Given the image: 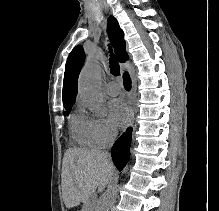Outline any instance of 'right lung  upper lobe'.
Returning a JSON list of instances; mask_svg holds the SVG:
<instances>
[{"instance_id":"1","label":"right lung upper lobe","mask_w":219,"mask_h":211,"mask_svg":"<svg viewBox=\"0 0 219 211\" xmlns=\"http://www.w3.org/2000/svg\"><path fill=\"white\" fill-rule=\"evenodd\" d=\"M108 33L116 56L119 62L123 63L128 59V55L125 51L124 33L120 29L117 20L110 16L108 18ZM85 54L82 46H76L73 48L66 62L64 83H63V104H74L77 95V80L80 69L84 63Z\"/></svg>"}]
</instances>
